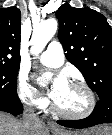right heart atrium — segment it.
Here are the masks:
<instances>
[{"label": "right heart atrium", "mask_w": 112, "mask_h": 135, "mask_svg": "<svg viewBox=\"0 0 112 135\" xmlns=\"http://www.w3.org/2000/svg\"><path fill=\"white\" fill-rule=\"evenodd\" d=\"M17 95L20 102L31 110H42L48 105V101L38 90L33 87L24 75H20L17 81Z\"/></svg>", "instance_id": "obj_1"}]
</instances>
